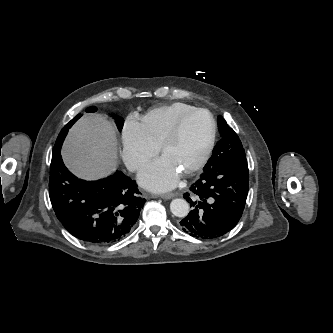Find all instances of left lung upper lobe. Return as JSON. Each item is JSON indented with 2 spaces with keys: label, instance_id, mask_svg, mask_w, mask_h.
<instances>
[{
  "label": "left lung upper lobe",
  "instance_id": "1",
  "mask_svg": "<svg viewBox=\"0 0 333 333\" xmlns=\"http://www.w3.org/2000/svg\"><path fill=\"white\" fill-rule=\"evenodd\" d=\"M218 128L220 140L213 149L212 156L205 165L203 171L217 168L226 162H235L245 158V151L242 143L232 128L228 126L224 118L219 115Z\"/></svg>",
  "mask_w": 333,
  "mask_h": 333
}]
</instances>
